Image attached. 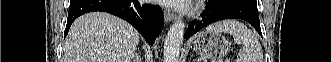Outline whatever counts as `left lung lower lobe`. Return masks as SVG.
<instances>
[{
  "label": "left lung lower lobe",
  "instance_id": "obj_1",
  "mask_svg": "<svg viewBox=\"0 0 331 62\" xmlns=\"http://www.w3.org/2000/svg\"><path fill=\"white\" fill-rule=\"evenodd\" d=\"M207 9L201 20L188 26L186 39L211 23L231 18L249 22L262 35L256 0H208Z\"/></svg>",
  "mask_w": 331,
  "mask_h": 62
}]
</instances>
